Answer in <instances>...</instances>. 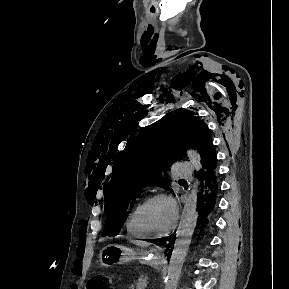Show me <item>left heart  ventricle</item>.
<instances>
[{"label": "left heart ventricle", "instance_id": "obj_1", "mask_svg": "<svg viewBox=\"0 0 289 289\" xmlns=\"http://www.w3.org/2000/svg\"><path fill=\"white\" fill-rule=\"evenodd\" d=\"M173 208L167 200H155L142 213L144 227L151 231L160 232L167 229L173 220Z\"/></svg>", "mask_w": 289, "mask_h": 289}]
</instances>
